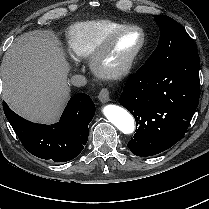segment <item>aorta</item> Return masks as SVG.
Masks as SVG:
<instances>
[{
  "label": "aorta",
  "instance_id": "obj_1",
  "mask_svg": "<svg viewBox=\"0 0 209 209\" xmlns=\"http://www.w3.org/2000/svg\"><path fill=\"white\" fill-rule=\"evenodd\" d=\"M103 114L124 134H131L134 132L135 121L127 110L114 104H108L103 108Z\"/></svg>",
  "mask_w": 209,
  "mask_h": 209
}]
</instances>
